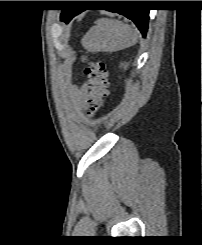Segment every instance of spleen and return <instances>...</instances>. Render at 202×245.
<instances>
[{
	"label": "spleen",
	"instance_id": "spleen-1",
	"mask_svg": "<svg viewBox=\"0 0 202 245\" xmlns=\"http://www.w3.org/2000/svg\"><path fill=\"white\" fill-rule=\"evenodd\" d=\"M138 42V32L119 20L101 18L82 40L83 46L91 52H116L129 48Z\"/></svg>",
	"mask_w": 202,
	"mask_h": 245
}]
</instances>
